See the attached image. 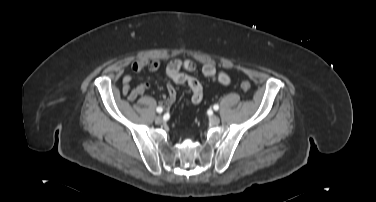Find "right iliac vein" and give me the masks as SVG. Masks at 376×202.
<instances>
[{
	"instance_id": "63e3f726",
	"label": "right iliac vein",
	"mask_w": 376,
	"mask_h": 202,
	"mask_svg": "<svg viewBox=\"0 0 376 202\" xmlns=\"http://www.w3.org/2000/svg\"><path fill=\"white\" fill-rule=\"evenodd\" d=\"M155 122H156L157 124H160V123L163 122V118H162L161 116H157V117L155 118Z\"/></svg>"
}]
</instances>
